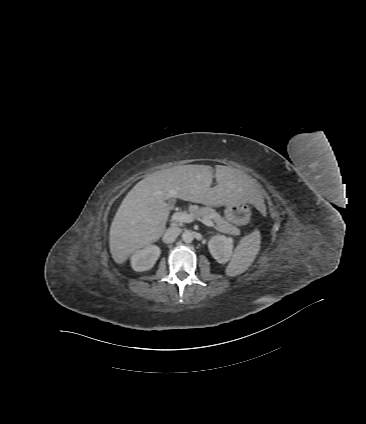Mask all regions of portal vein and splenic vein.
I'll return each mask as SVG.
<instances>
[{
    "instance_id": "1",
    "label": "portal vein and splenic vein",
    "mask_w": 366,
    "mask_h": 424,
    "mask_svg": "<svg viewBox=\"0 0 366 424\" xmlns=\"http://www.w3.org/2000/svg\"><path fill=\"white\" fill-rule=\"evenodd\" d=\"M194 220H199L201 221L203 224L209 226V227H214V223L209 219V218H197L194 214L192 213H187V212H176L171 216V221L173 222H184V223H190L193 222Z\"/></svg>"
}]
</instances>
